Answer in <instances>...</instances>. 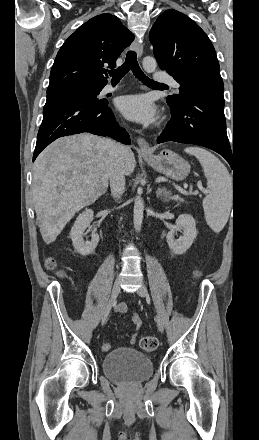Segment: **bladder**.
Wrapping results in <instances>:
<instances>
[{"instance_id": "bladder-1", "label": "bladder", "mask_w": 259, "mask_h": 440, "mask_svg": "<svg viewBox=\"0 0 259 440\" xmlns=\"http://www.w3.org/2000/svg\"><path fill=\"white\" fill-rule=\"evenodd\" d=\"M102 370L110 380L123 385H136L148 380L154 371L152 360L135 349H116L102 359Z\"/></svg>"}]
</instances>
